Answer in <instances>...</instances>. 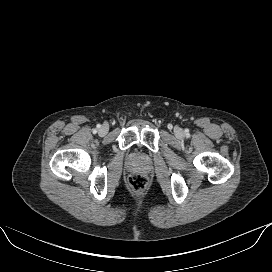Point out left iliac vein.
<instances>
[{"instance_id": "left-iliac-vein-1", "label": "left iliac vein", "mask_w": 272, "mask_h": 272, "mask_svg": "<svg viewBox=\"0 0 272 272\" xmlns=\"http://www.w3.org/2000/svg\"><path fill=\"white\" fill-rule=\"evenodd\" d=\"M175 133H176V135H177L178 137H181L182 134H183V132H182L181 129H176Z\"/></svg>"}]
</instances>
